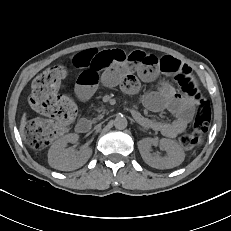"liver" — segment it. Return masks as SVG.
<instances>
[{
	"label": "liver",
	"mask_w": 231,
	"mask_h": 231,
	"mask_svg": "<svg viewBox=\"0 0 231 231\" xmlns=\"http://www.w3.org/2000/svg\"><path fill=\"white\" fill-rule=\"evenodd\" d=\"M25 126H26V117L25 115H23L21 118V124H20V133L23 137L25 136V133H24Z\"/></svg>",
	"instance_id": "6515ba94"
}]
</instances>
